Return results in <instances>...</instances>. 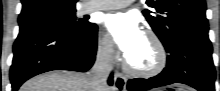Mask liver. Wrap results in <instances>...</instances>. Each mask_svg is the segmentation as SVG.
I'll return each instance as SVG.
<instances>
[{
    "instance_id": "1",
    "label": "liver",
    "mask_w": 220,
    "mask_h": 91,
    "mask_svg": "<svg viewBox=\"0 0 220 91\" xmlns=\"http://www.w3.org/2000/svg\"><path fill=\"white\" fill-rule=\"evenodd\" d=\"M19 91H93V88L88 73L53 71L31 78Z\"/></svg>"
}]
</instances>
